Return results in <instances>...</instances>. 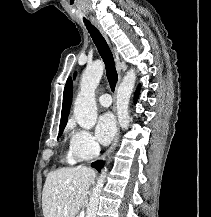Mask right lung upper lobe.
<instances>
[{
	"label": "right lung upper lobe",
	"instance_id": "obj_1",
	"mask_svg": "<svg viewBox=\"0 0 211 217\" xmlns=\"http://www.w3.org/2000/svg\"><path fill=\"white\" fill-rule=\"evenodd\" d=\"M72 101V80L71 78H68L65 88H64V94H63V106H62V112H61V122H60V128H65L67 123V117L69 115L70 111V105Z\"/></svg>",
	"mask_w": 211,
	"mask_h": 217
}]
</instances>
